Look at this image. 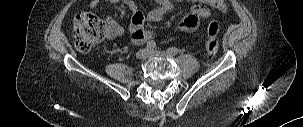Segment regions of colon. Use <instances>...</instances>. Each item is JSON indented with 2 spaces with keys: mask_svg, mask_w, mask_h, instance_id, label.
<instances>
[{
  "mask_svg": "<svg viewBox=\"0 0 303 127\" xmlns=\"http://www.w3.org/2000/svg\"><path fill=\"white\" fill-rule=\"evenodd\" d=\"M74 30L76 48L82 52L89 51L110 34L105 22L90 12H80L76 15ZM218 30L217 21H211L207 26L205 50L210 56H216L219 51L216 42Z\"/></svg>",
  "mask_w": 303,
  "mask_h": 127,
  "instance_id": "5ec220e1",
  "label": "colon"
}]
</instances>
